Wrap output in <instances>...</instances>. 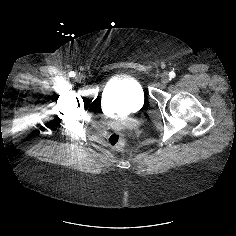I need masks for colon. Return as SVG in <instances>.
<instances>
[{"mask_svg": "<svg viewBox=\"0 0 236 236\" xmlns=\"http://www.w3.org/2000/svg\"><path fill=\"white\" fill-rule=\"evenodd\" d=\"M107 144L116 151H123L127 145V138L123 133L113 132L107 137Z\"/></svg>", "mask_w": 236, "mask_h": 236, "instance_id": "obj_1", "label": "colon"}]
</instances>
